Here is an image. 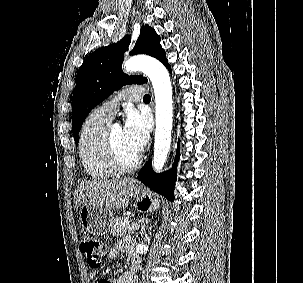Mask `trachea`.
Instances as JSON below:
<instances>
[{
    "label": "trachea",
    "instance_id": "3493384b",
    "mask_svg": "<svg viewBox=\"0 0 303 283\" xmlns=\"http://www.w3.org/2000/svg\"><path fill=\"white\" fill-rule=\"evenodd\" d=\"M150 100H151V97L149 94L144 95L143 101H150Z\"/></svg>",
    "mask_w": 303,
    "mask_h": 283
}]
</instances>
